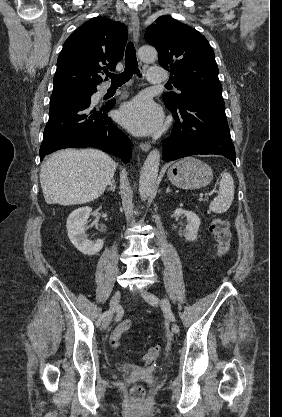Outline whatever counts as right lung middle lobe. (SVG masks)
Instances as JSON below:
<instances>
[{
    "label": "right lung middle lobe",
    "mask_w": 282,
    "mask_h": 417,
    "mask_svg": "<svg viewBox=\"0 0 282 417\" xmlns=\"http://www.w3.org/2000/svg\"><path fill=\"white\" fill-rule=\"evenodd\" d=\"M95 90H80V91H72V92H65V93H58L52 94L50 99V104H54L60 101H64L69 98L84 96L88 94H92Z\"/></svg>",
    "instance_id": "right-lung-middle-lobe-1"
}]
</instances>
